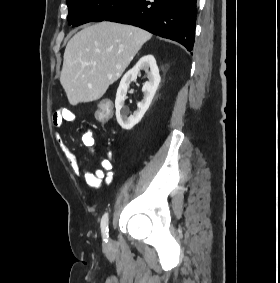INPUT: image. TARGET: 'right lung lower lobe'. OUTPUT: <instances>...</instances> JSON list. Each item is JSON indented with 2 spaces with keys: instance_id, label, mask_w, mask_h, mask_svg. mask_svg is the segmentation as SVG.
<instances>
[{
  "instance_id": "98d812e1",
  "label": "right lung lower lobe",
  "mask_w": 280,
  "mask_h": 283,
  "mask_svg": "<svg viewBox=\"0 0 280 283\" xmlns=\"http://www.w3.org/2000/svg\"><path fill=\"white\" fill-rule=\"evenodd\" d=\"M197 0H132L106 18L130 24L182 44L192 51L196 28Z\"/></svg>"
}]
</instances>
